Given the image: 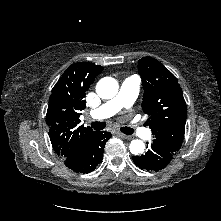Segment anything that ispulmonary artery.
Wrapping results in <instances>:
<instances>
[{
	"mask_svg": "<svg viewBox=\"0 0 221 221\" xmlns=\"http://www.w3.org/2000/svg\"><path fill=\"white\" fill-rule=\"evenodd\" d=\"M140 89V79L137 76L126 78L118 92L111 100L104 103L101 107L91 112V117L94 119H104L111 117L122 108H129L136 100ZM133 130L140 136H146L147 130L134 125Z\"/></svg>",
	"mask_w": 221,
	"mask_h": 221,
	"instance_id": "pulmonary-artery-1",
	"label": "pulmonary artery"
}]
</instances>
